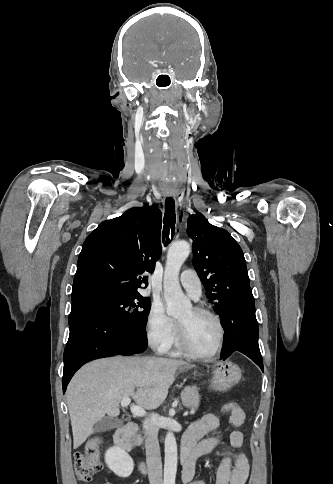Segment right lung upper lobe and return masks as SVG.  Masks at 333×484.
Instances as JSON below:
<instances>
[{
  "label": "right lung upper lobe",
  "instance_id": "right-lung-upper-lobe-1",
  "mask_svg": "<svg viewBox=\"0 0 333 484\" xmlns=\"http://www.w3.org/2000/svg\"><path fill=\"white\" fill-rule=\"evenodd\" d=\"M161 211L133 207L88 235L77 262L71 299L96 291L139 294L143 273L161 256Z\"/></svg>",
  "mask_w": 333,
  "mask_h": 484
}]
</instances>
